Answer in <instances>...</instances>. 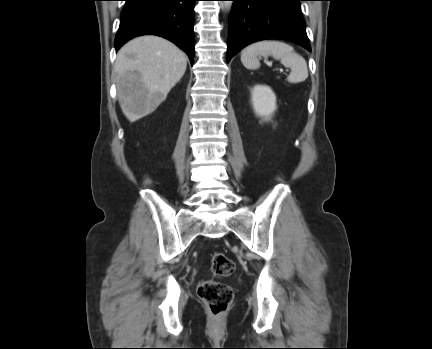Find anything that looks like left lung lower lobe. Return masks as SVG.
I'll return each instance as SVG.
<instances>
[{
	"mask_svg": "<svg viewBox=\"0 0 432 349\" xmlns=\"http://www.w3.org/2000/svg\"><path fill=\"white\" fill-rule=\"evenodd\" d=\"M227 62L250 43L283 39L311 47L301 15L302 0H231Z\"/></svg>",
	"mask_w": 432,
	"mask_h": 349,
	"instance_id": "0a47b994",
	"label": "left lung lower lobe"
}]
</instances>
